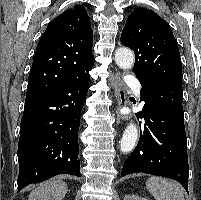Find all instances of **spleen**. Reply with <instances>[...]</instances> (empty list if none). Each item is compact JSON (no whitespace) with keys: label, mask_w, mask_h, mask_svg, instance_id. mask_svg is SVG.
Here are the masks:
<instances>
[{"label":"spleen","mask_w":201,"mask_h":200,"mask_svg":"<svg viewBox=\"0 0 201 200\" xmlns=\"http://www.w3.org/2000/svg\"><path fill=\"white\" fill-rule=\"evenodd\" d=\"M146 187L156 200H185L180 185L161 177H151Z\"/></svg>","instance_id":"obj_1"}]
</instances>
